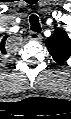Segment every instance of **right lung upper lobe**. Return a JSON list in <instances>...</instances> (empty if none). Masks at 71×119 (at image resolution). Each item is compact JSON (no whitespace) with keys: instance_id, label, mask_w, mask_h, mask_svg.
I'll list each match as a JSON object with an SVG mask.
<instances>
[{"instance_id":"right-lung-upper-lobe-1","label":"right lung upper lobe","mask_w":71,"mask_h":119,"mask_svg":"<svg viewBox=\"0 0 71 119\" xmlns=\"http://www.w3.org/2000/svg\"><path fill=\"white\" fill-rule=\"evenodd\" d=\"M8 36H5L3 41H2V45H1V50H2V53H6L5 52V49H4V44H5V39L7 38Z\"/></svg>"}]
</instances>
